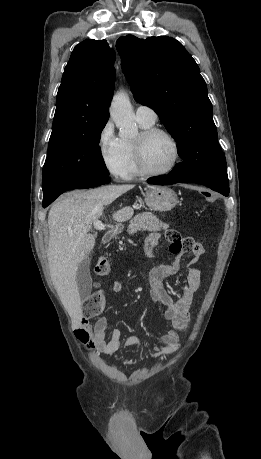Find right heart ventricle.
Listing matches in <instances>:
<instances>
[{"instance_id":"right-heart-ventricle-1","label":"right heart ventricle","mask_w":261,"mask_h":459,"mask_svg":"<svg viewBox=\"0 0 261 459\" xmlns=\"http://www.w3.org/2000/svg\"><path fill=\"white\" fill-rule=\"evenodd\" d=\"M138 123L143 129L152 127L154 124V123L151 124V123H146L142 121H138ZM121 142H122L123 152L125 154L126 161H127L126 169H125V172L122 178L132 179L133 177L139 174L137 167H136V163H135V157H134V148H133L134 141L129 140V139H121Z\"/></svg>"}]
</instances>
